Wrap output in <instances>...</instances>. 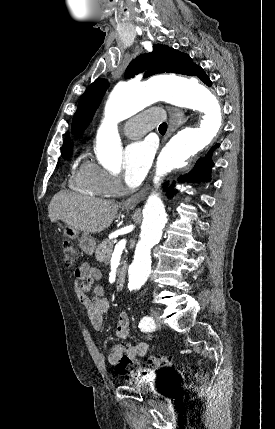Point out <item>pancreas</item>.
Instances as JSON below:
<instances>
[{"label":"pancreas","instance_id":"pancreas-1","mask_svg":"<svg viewBox=\"0 0 275 429\" xmlns=\"http://www.w3.org/2000/svg\"><path fill=\"white\" fill-rule=\"evenodd\" d=\"M113 251V243L110 240H103L95 251V257L98 261L109 264L111 254Z\"/></svg>","mask_w":275,"mask_h":429}]
</instances>
